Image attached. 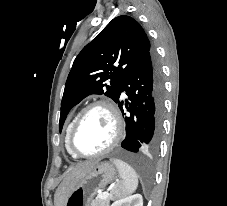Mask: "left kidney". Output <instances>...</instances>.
Wrapping results in <instances>:
<instances>
[{
	"label": "left kidney",
	"instance_id": "left-kidney-1",
	"mask_svg": "<svg viewBox=\"0 0 227 206\" xmlns=\"http://www.w3.org/2000/svg\"><path fill=\"white\" fill-rule=\"evenodd\" d=\"M111 206H143V198L139 194L116 200Z\"/></svg>",
	"mask_w": 227,
	"mask_h": 206
}]
</instances>
